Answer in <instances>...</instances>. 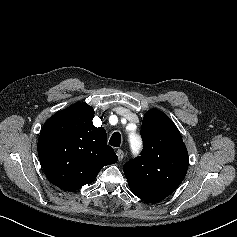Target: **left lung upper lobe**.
Returning <instances> with one entry per match:
<instances>
[{
  "label": "left lung upper lobe",
  "instance_id": "obj_1",
  "mask_svg": "<svg viewBox=\"0 0 237 237\" xmlns=\"http://www.w3.org/2000/svg\"><path fill=\"white\" fill-rule=\"evenodd\" d=\"M140 157L124 165L131 191L140 199H165L183 181L189 164L188 152L180 132L162 111L151 109L144 115Z\"/></svg>",
  "mask_w": 237,
  "mask_h": 237
}]
</instances>
